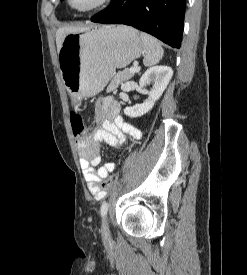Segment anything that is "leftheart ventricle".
Segmentation results:
<instances>
[{
    "mask_svg": "<svg viewBox=\"0 0 247 275\" xmlns=\"http://www.w3.org/2000/svg\"><path fill=\"white\" fill-rule=\"evenodd\" d=\"M72 5L78 9H85L97 2V0H71Z\"/></svg>",
    "mask_w": 247,
    "mask_h": 275,
    "instance_id": "left-heart-ventricle-1",
    "label": "left heart ventricle"
}]
</instances>
